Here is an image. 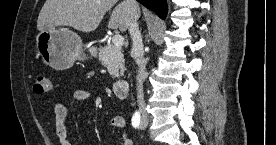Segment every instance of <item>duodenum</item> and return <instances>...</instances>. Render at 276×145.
<instances>
[{
	"mask_svg": "<svg viewBox=\"0 0 276 145\" xmlns=\"http://www.w3.org/2000/svg\"><path fill=\"white\" fill-rule=\"evenodd\" d=\"M129 82L121 78L113 84V92L118 99H125L128 94Z\"/></svg>",
	"mask_w": 276,
	"mask_h": 145,
	"instance_id": "obj_1",
	"label": "duodenum"
}]
</instances>
